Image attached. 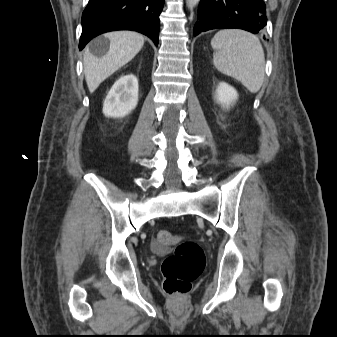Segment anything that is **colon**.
<instances>
[{
  "label": "colon",
  "instance_id": "1",
  "mask_svg": "<svg viewBox=\"0 0 337 337\" xmlns=\"http://www.w3.org/2000/svg\"><path fill=\"white\" fill-rule=\"evenodd\" d=\"M175 246L174 252L162 262L163 290L174 297L187 294L202 273L205 266V253L194 241H182L180 237L168 230H160L155 236L153 248L162 251Z\"/></svg>",
  "mask_w": 337,
  "mask_h": 337
}]
</instances>
